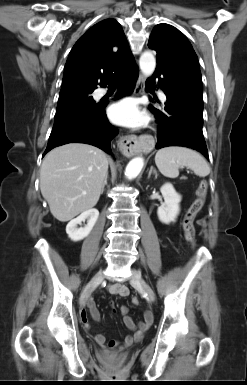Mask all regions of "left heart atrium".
<instances>
[{"label": "left heart atrium", "mask_w": 247, "mask_h": 385, "mask_svg": "<svg viewBox=\"0 0 247 385\" xmlns=\"http://www.w3.org/2000/svg\"><path fill=\"white\" fill-rule=\"evenodd\" d=\"M109 118L116 124L126 127H141L147 123V115L131 98L120 100L110 106Z\"/></svg>", "instance_id": "left-heart-atrium-1"}]
</instances>
